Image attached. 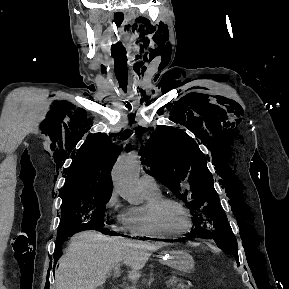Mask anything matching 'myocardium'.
I'll list each match as a JSON object with an SVG mask.
<instances>
[{"label":"myocardium","instance_id":"1","mask_svg":"<svg viewBox=\"0 0 289 289\" xmlns=\"http://www.w3.org/2000/svg\"><path fill=\"white\" fill-rule=\"evenodd\" d=\"M167 204L178 205L186 213V215L188 217V225L186 226V228L184 230L174 233V232H169V231L165 230L161 226V224L159 222V213H160L161 208ZM145 213H146V218L149 222L150 227L155 232H157L158 234L165 236V237L183 236L190 231V229L192 228V225H193L192 213H191L190 209L187 207V205L183 201H181L177 198H174V197L160 196V197L148 202L145 206Z\"/></svg>","mask_w":289,"mask_h":289}]
</instances>
